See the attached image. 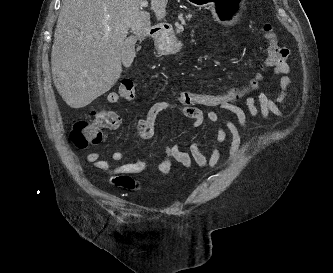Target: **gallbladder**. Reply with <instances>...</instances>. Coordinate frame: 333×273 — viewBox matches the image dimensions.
<instances>
[{"instance_id": "obj_1", "label": "gallbladder", "mask_w": 333, "mask_h": 273, "mask_svg": "<svg viewBox=\"0 0 333 273\" xmlns=\"http://www.w3.org/2000/svg\"><path fill=\"white\" fill-rule=\"evenodd\" d=\"M136 38H128L122 45L121 59L124 67L129 68L135 57Z\"/></svg>"}]
</instances>
